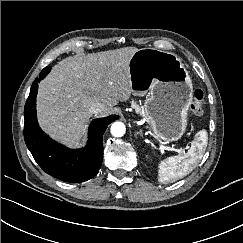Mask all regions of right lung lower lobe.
<instances>
[{
    "label": "right lung lower lobe",
    "mask_w": 243,
    "mask_h": 243,
    "mask_svg": "<svg viewBox=\"0 0 243 243\" xmlns=\"http://www.w3.org/2000/svg\"><path fill=\"white\" fill-rule=\"evenodd\" d=\"M49 71L50 67H45L31 86L24 108L25 143L35 161L47 174L65 182H84L98 173L103 160V134L118 116L94 120L89 127V140L85 148L71 150L55 142L40 129L36 118L38 82Z\"/></svg>",
    "instance_id": "obj_1"
}]
</instances>
